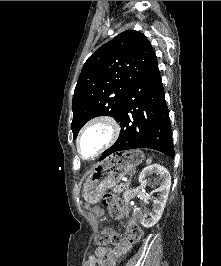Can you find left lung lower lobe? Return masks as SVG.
<instances>
[{"label":"left lung lower lobe","instance_id":"obj_1","mask_svg":"<svg viewBox=\"0 0 221 266\" xmlns=\"http://www.w3.org/2000/svg\"><path fill=\"white\" fill-rule=\"evenodd\" d=\"M121 131L100 160L129 149L151 148L174 157L169 110L157 67L130 88L117 121Z\"/></svg>","mask_w":221,"mask_h":266}]
</instances>
